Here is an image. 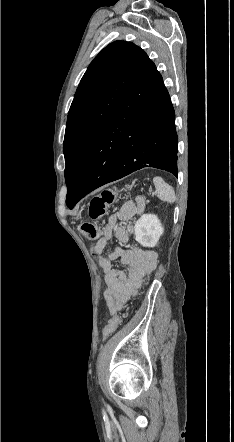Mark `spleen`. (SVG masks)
I'll use <instances>...</instances> for the list:
<instances>
[{
	"label": "spleen",
	"mask_w": 234,
	"mask_h": 442,
	"mask_svg": "<svg viewBox=\"0 0 234 442\" xmlns=\"http://www.w3.org/2000/svg\"><path fill=\"white\" fill-rule=\"evenodd\" d=\"M154 186L158 192V197L166 202L173 203L175 201V192L172 186L167 184L162 177H154Z\"/></svg>",
	"instance_id": "obj_1"
}]
</instances>
